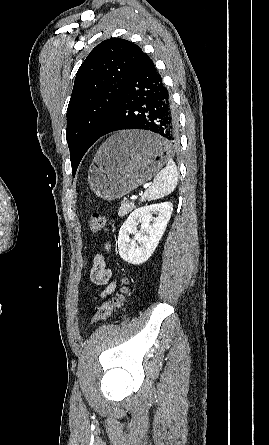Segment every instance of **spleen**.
Segmentation results:
<instances>
[{"label":"spleen","instance_id":"spleen-1","mask_svg":"<svg viewBox=\"0 0 269 445\" xmlns=\"http://www.w3.org/2000/svg\"><path fill=\"white\" fill-rule=\"evenodd\" d=\"M166 146L167 142H166ZM178 181V171L172 159L168 158L163 168L153 179L152 185L144 192L141 201L163 198L174 191Z\"/></svg>","mask_w":269,"mask_h":445}]
</instances>
